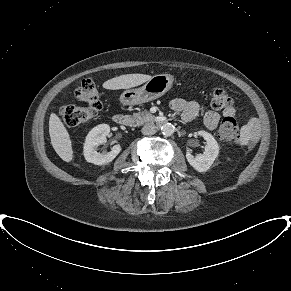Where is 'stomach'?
Here are the masks:
<instances>
[{
  "label": "stomach",
  "instance_id": "1",
  "mask_svg": "<svg viewBox=\"0 0 291 291\" xmlns=\"http://www.w3.org/2000/svg\"><path fill=\"white\" fill-rule=\"evenodd\" d=\"M174 77L159 74L149 79L142 87L126 90L120 96L123 105H138L163 96L173 85Z\"/></svg>",
  "mask_w": 291,
  "mask_h": 291
}]
</instances>
